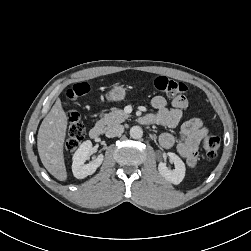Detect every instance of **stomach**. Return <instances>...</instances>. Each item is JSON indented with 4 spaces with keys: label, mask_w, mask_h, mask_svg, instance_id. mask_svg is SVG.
I'll list each match as a JSON object with an SVG mask.
<instances>
[{
    "label": "stomach",
    "mask_w": 251,
    "mask_h": 251,
    "mask_svg": "<svg viewBox=\"0 0 251 251\" xmlns=\"http://www.w3.org/2000/svg\"><path fill=\"white\" fill-rule=\"evenodd\" d=\"M126 96V89L123 85L115 84L106 94V99L109 102H119L122 101Z\"/></svg>",
    "instance_id": "0dacf381"
}]
</instances>
